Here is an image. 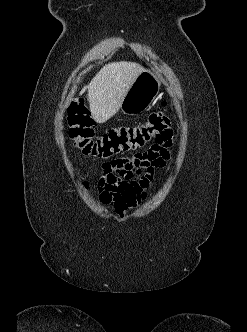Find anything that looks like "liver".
<instances>
[{
    "instance_id": "6515ba94",
    "label": "liver",
    "mask_w": 247,
    "mask_h": 332,
    "mask_svg": "<svg viewBox=\"0 0 247 332\" xmlns=\"http://www.w3.org/2000/svg\"><path fill=\"white\" fill-rule=\"evenodd\" d=\"M143 71L137 63L120 61L105 65L96 74L87 88L90 112L97 123H105L118 112L130 86Z\"/></svg>"
}]
</instances>
